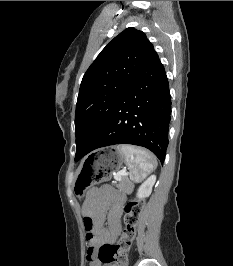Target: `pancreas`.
Wrapping results in <instances>:
<instances>
[{
    "mask_svg": "<svg viewBox=\"0 0 233 266\" xmlns=\"http://www.w3.org/2000/svg\"><path fill=\"white\" fill-rule=\"evenodd\" d=\"M127 184V182H123L122 185L120 187H125V185Z\"/></svg>",
    "mask_w": 233,
    "mask_h": 266,
    "instance_id": "1",
    "label": "pancreas"
}]
</instances>
